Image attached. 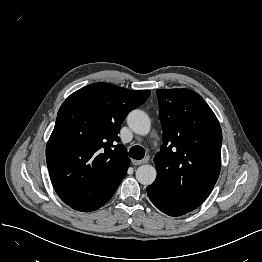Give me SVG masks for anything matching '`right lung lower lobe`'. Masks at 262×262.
Instances as JSON below:
<instances>
[{
  "label": "right lung lower lobe",
  "mask_w": 262,
  "mask_h": 262,
  "mask_svg": "<svg viewBox=\"0 0 262 262\" xmlns=\"http://www.w3.org/2000/svg\"><path fill=\"white\" fill-rule=\"evenodd\" d=\"M103 204L101 205H97V206H92V207H79V208H74L75 210H78V211H83V212H90V211H93V210H96L98 208H100L101 206H103Z\"/></svg>",
  "instance_id": "right-lung-lower-lobe-1"
}]
</instances>
